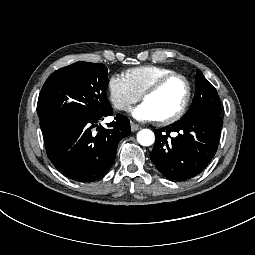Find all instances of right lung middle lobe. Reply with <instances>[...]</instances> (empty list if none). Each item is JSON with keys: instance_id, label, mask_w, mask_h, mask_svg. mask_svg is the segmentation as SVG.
Masks as SVG:
<instances>
[{"instance_id": "dd1d6c3e", "label": "right lung middle lobe", "mask_w": 255, "mask_h": 255, "mask_svg": "<svg viewBox=\"0 0 255 255\" xmlns=\"http://www.w3.org/2000/svg\"><path fill=\"white\" fill-rule=\"evenodd\" d=\"M108 82L107 68L101 63L76 62L53 72L37 103L43 135L57 125L112 115L106 96Z\"/></svg>"}]
</instances>
